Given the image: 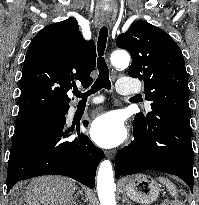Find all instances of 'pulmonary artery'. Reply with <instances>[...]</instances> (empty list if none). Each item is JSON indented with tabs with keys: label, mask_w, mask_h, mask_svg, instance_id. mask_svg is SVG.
<instances>
[{
	"label": "pulmonary artery",
	"mask_w": 199,
	"mask_h": 205,
	"mask_svg": "<svg viewBox=\"0 0 199 205\" xmlns=\"http://www.w3.org/2000/svg\"><path fill=\"white\" fill-rule=\"evenodd\" d=\"M117 91L124 95H130L133 93H136L138 91V88L133 85H127V82L124 79H120L117 82ZM96 100L90 101V103H96Z\"/></svg>",
	"instance_id": "1"
}]
</instances>
